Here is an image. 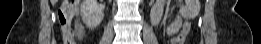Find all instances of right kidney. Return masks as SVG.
<instances>
[{
    "label": "right kidney",
    "instance_id": "ca27d5eb",
    "mask_svg": "<svg viewBox=\"0 0 261 44\" xmlns=\"http://www.w3.org/2000/svg\"><path fill=\"white\" fill-rule=\"evenodd\" d=\"M83 22L90 29L100 25L104 18L103 9L97 4V0H85L80 6Z\"/></svg>",
    "mask_w": 261,
    "mask_h": 44
}]
</instances>
